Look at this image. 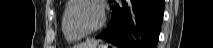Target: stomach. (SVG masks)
Here are the masks:
<instances>
[{
    "label": "stomach",
    "mask_w": 213,
    "mask_h": 48,
    "mask_svg": "<svg viewBox=\"0 0 213 48\" xmlns=\"http://www.w3.org/2000/svg\"><path fill=\"white\" fill-rule=\"evenodd\" d=\"M93 48H108V45L106 44H98L96 47Z\"/></svg>",
    "instance_id": "0dacf381"
}]
</instances>
